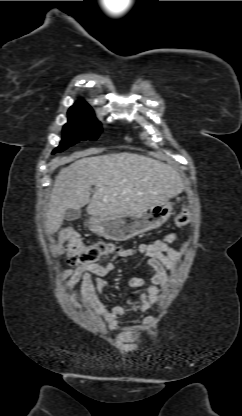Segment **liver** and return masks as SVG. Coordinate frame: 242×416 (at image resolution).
I'll use <instances>...</instances> for the list:
<instances>
[{
    "label": "liver",
    "instance_id": "1",
    "mask_svg": "<svg viewBox=\"0 0 242 416\" xmlns=\"http://www.w3.org/2000/svg\"><path fill=\"white\" fill-rule=\"evenodd\" d=\"M184 188L176 167L143 155L122 152L84 157L61 168L55 177L45 228L49 234L57 232L70 208L88 205L87 213L100 217L140 213Z\"/></svg>",
    "mask_w": 242,
    "mask_h": 416
}]
</instances>
